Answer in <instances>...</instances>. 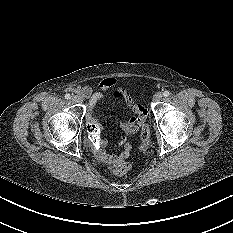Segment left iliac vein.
I'll return each mask as SVG.
<instances>
[{"label": "left iliac vein", "mask_w": 233, "mask_h": 233, "mask_svg": "<svg viewBox=\"0 0 233 233\" xmlns=\"http://www.w3.org/2000/svg\"><path fill=\"white\" fill-rule=\"evenodd\" d=\"M162 98H163V94L160 93V92H158V93H156V94L153 96V101H154V102H158V101H161Z\"/></svg>", "instance_id": "4c4485c4"}]
</instances>
